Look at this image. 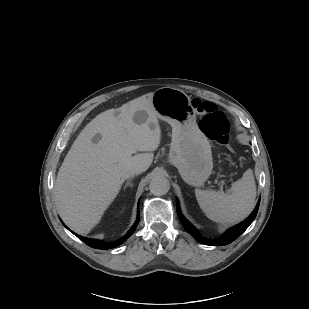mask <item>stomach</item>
Segmentation results:
<instances>
[{
	"label": "stomach",
	"mask_w": 309,
	"mask_h": 309,
	"mask_svg": "<svg viewBox=\"0 0 309 309\" xmlns=\"http://www.w3.org/2000/svg\"><path fill=\"white\" fill-rule=\"evenodd\" d=\"M152 105L157 117L172 126L169 162L187 184L203 185L213 168L211 146L198 128L190 97L180 89L162 87L153 93Z\"/></svg>",
	"instance_id": "stomach-1"
}]
</instances>
